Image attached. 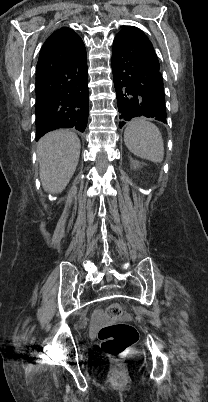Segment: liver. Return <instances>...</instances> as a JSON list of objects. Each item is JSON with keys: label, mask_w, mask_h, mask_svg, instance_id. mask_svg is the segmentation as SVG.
I'll list each match as a JSON object with an SVG mask.
<instances>
[{"label": "liver", "mask_w": 208, "mask_h": 402, "mask_svg": "<svg viewBox=\"0 0 208 402\" xmlns=\"http://www.w3.org/2000/svg\"><path fill=\"white\" fill-rule=\"evenodd\" d=\"M80 140L73 132H49L37 144L40 180L45 192L60 194L79 162Z\"/></svg>", "instance_id": "liver-1"}]
</instances>
